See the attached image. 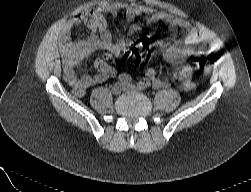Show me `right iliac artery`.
<instances>
[{"mask_svg": "<svg viewBox=\"0 0 251 192\" xmlns=\"http://www.w3.org/2000/svg\"><path fill=\"white\" fill-rule=\"evenodd\" d=\"M118 80H119L122 84H128V83H131L132 78H131V76L128 75V74H121V75H119Z\"/></svg>", "mask_w": 251, "mask_h": 192, "instance_id": "1", "label": "right iliac artery"}]
</instances>
